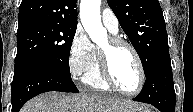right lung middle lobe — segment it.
<instances>
[{"label":"right lung middle lobe","mask_w":193,"mask_h":112,"mask_svg":"<svg viewBox=\"0 0 193 112\" xmlns=\"http://www.w3.org/2000/svg\"><path fill=\"white\" fill-rule=\"evenodd\" d=\"M76 28L77 25L40 23L18 29L14 73L42 64L71 76L69 54Z\"/></svg>","instance_id":"1"}]
</instances>
